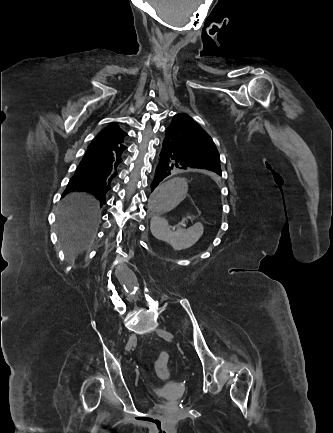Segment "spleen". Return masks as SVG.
Returning a JSON list of instances; mask_svg holds the SVG:
<instances>
[{"instance_id":"1","label":"spleen","mask_w":333,"mask_h":433,"mask_svg":"<svg viewBox=\"0 0 333 433\" xmlns=\"http://www.w3.org/2000/svg\"><path fill=\"white\" fill-rule=\"evenodd\" d=\"M150 229L156 239L168 243L176 251L187 249L194 245L201 238L204 230L200 222L195 223L188 229L170 226L162 215H157V217L152 215Z\"/></svg>"}]
</instances>
